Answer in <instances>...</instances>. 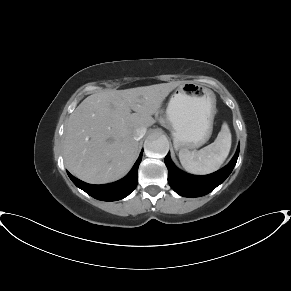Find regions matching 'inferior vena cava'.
Returning <instances> with one entry per match:
<instances>
[{
    "label": "inferior vena cava",
    "instance_id": "inferior-vena-cava-1",
    "mask_svg": "<svg viewBox=\"0 0 291 291\" xmlns=\"http://www.w3.org/2000/svg\"><path fill=\"white\" fill-rule=\"evenodd\" d=\"M146 133V128H137L134 133L133 137L135 140H140Z\"/></svg>",
    "mask_w": 291,
    "mask_h": 291
}]
</instances>
